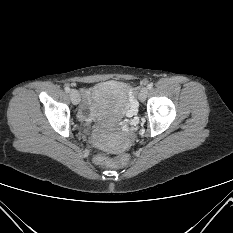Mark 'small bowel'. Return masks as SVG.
I'll use <instances>...</instances> for the list:
<instances>
[{"mask_svg": "<svg viewBox=\"0 0 233 233\" xmlns=\"http://www.w3.org/2000/svg\"><path fill=\"white\" fill-rule=\"evenodd\" d=\"M84 96L86 99H89L90 92L89 91H84Z\"/></svg>", "mask_w": 233, "mask_h": 233, "instance_id": "small-bowel-1", "label": "small bowel"}]
</instances>
